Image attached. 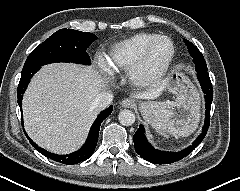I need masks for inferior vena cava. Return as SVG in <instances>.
Returning a JSON list of instances; mask_svg holds the SVG:
<instances>
[{"label": "inferior vena cava", "mask_w": 240, "mask_h": 191, "mask_svg": "<svg viewBox=\"0 0 240 191\" xmlns=\"http://www.w3.org/2000/svg\"><path fill=\"white\" fill-rule=\"evenodd\" d=\"M112 100L113 94L110 91H103L96 96L91 106L96 110H103L111 104Z\"/></svg>", "instance_id": "inferior-vena-cava-1"}]
</instances>
